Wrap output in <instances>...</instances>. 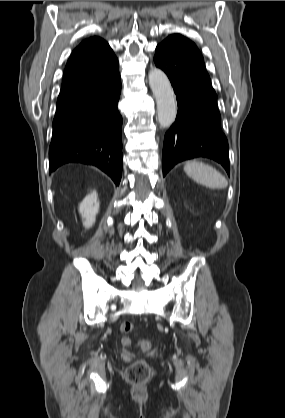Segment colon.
Returning <instances> with one entry per match:
<instances>
[{
	"instance_id": "obj_1",
	"label": "colon",
	"mask_w": 285,
	"mask_h": 418,
	"mask_svg": "<svg viewBox=\"0 0 285 418\" xmlns=\"http://www.w3.org/2000/svg\"><path fill=\"white\" fill-rule=\"evenodd\" d=\"M121 333L128 334L134 330V325L131 322L125 321L121 323L119 327ZM130 343L129 338H123L122 344L128 345ZM139 348L142 351H147L150 348L149 341L141 340L139 342ZM151 375V367L146 360L140 359L134 361L125 371L126 380L132 385H138L146 382Z\"/></svg>"
}]
</instances>
